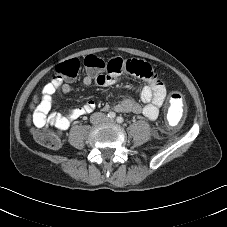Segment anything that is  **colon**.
Instances as JSON below:
<instances>
[{"label": "colon", "mask_w": 227, "mask_h": 227, "mask_svg": "<svg viewBox=\"0 0 227 227\" xmlns=\"http://www.w3.org/2000/svg\"><path fill=\"white\" fill-rule=\"evenodd\" d=\"M83 66L91 72L98 73L106 68L118 72L116 60L106 63L101 58L95 55H87L83 58ZM81 63L77 58L69 59L60 63L55 69V75L52 77L46 89L50 92L55 91L62 85L64 80H71L77 77ZM127 70L141 77L152 76V68L147 63L141 61H130L127 63ZM169 112L174 115H180L185 109L184 96L178 89H173L168 95ZM33 136L41 145L51 149H56L60 146L61 140L56 132L48 130H36Z\"/></svg>", "instance_id": "obj_1"}]
</instances>
